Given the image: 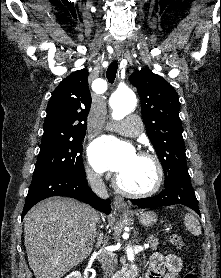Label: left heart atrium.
Masks as SVG:
<instances>
[{
  "label": "left heart atrium",
  "instance_id": "left-heart-atrium-1",
  "mask_svg": "<svg viewBox=\"0 0 221 278\" xmlns=\"http://www.w3.org/2000/svg\"><path fill=\"white\" fill-rule=\"evenodd\" d=\"M134 148L127 142L114 137L103 136L89 147V160L98 172H123L135 157Z\"/></svg>",
  "mask_w": 221,
  "mask_h": 278
}]
</instances>
